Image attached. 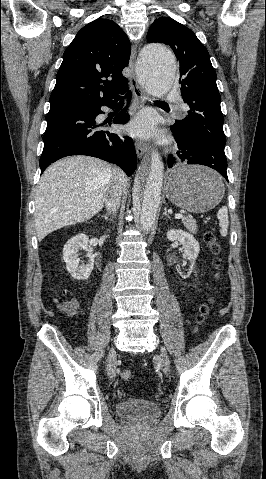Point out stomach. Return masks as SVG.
<instances>
[{"mask_svg": "<svg viewBox=\"0 0 266 479\" xmlns=\"http://www.w3.org/2000/svg\"><path fill=\"white\" fill-rule=\"evenodd\" d=\"M224 191L219 174L201 165H180L167 177V198L191 213L211 210L221 201Z\"/></svg>", "mask_w": 266, "mask_h": 479, "instance_id": "stomach-1", "label": "stomach"}]
</instances>
